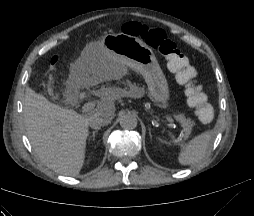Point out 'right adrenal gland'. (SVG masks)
<instances>
[{
  "label": "right adrenal gland",
  "instance_id": "1",
  "mask_svg": "<svg viewBox=\"0 0 254 216\" xmlns=\"http://www.w3.org/2000/svg\"><path fill=\"white\" fill-rule=\"evenodd\" d=\"M98 132V130H95V131H93L92 132V138H93V140L95 139V134Z\"/></svg>",
  "mask_w": 254,
  "mask_h": 216
}]
</instances>
